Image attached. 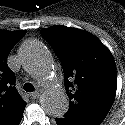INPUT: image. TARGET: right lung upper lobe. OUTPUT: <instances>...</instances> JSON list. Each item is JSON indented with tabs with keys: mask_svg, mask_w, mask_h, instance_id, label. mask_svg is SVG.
I'll return each mask as SVG.
<instances>
[{
	"mask_svg": "<svg viewBox=\"0 0 125 125\" xmlns=\"http://www.w3.org/2000/svg\"><path fill=\"white\" fill-rule=\"evenodd\" d=\"M25 34L24 30H0V123L26 106L14 87L15 74L7 65L9 53Z\"/></svg>",
	"mask_w": 125,
	"mask_h": 125,
	"instance_id": "cb5924a9",
	"label": "right lung upper lobe"
}]
</instances>
